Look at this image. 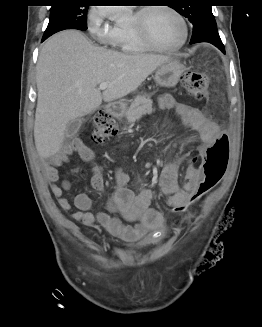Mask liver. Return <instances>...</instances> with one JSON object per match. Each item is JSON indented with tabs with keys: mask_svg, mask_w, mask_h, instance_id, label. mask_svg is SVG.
Segmentation results:
<instances>
[{
	"mask_svg": "<svg viewBox=\"0 0 262 327\" xmlns=\"http://www.w3.org/2000/svg\"><path fill=\"white\" fill-rule=\"evenodd\" d=\"M169 56L126 54L92 45L65 30L43 45L36 67L38 90L34 140L42 158L61 148L68 123L135 91ZM101 83L110 86L102 93Z\"/></svg>",
	"mask_w": 262,
	"mask_h": 327,
	"instance_id": "obj_1",
	"label": "liver"
}]
</instances>
